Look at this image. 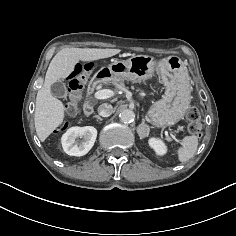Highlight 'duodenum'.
Returning a JSON list of instances; mask_svg holds the SVG:
<instances>
[{
	"label": "duodenum",
	"mask_w": 236,
	"mask_h": 236,
	"mask_svg": "<svg viewBox=\"0 0 236 236\" xmlns=\"http://www.w3.org/2000/svg\"><path fill=\"white\" fill-rule=\"evenodd\" d=\"M104 79H106V77H101V76H99L98 78H96L95 80L91 81V82L88 84L87 91H88V95H89V96H92V95L96 92L98 83L101 82V81L104 80ZM86 111H87L88 113H91L92 107H91L90 103H87V105H86Z\"/></svg>",
	"instance_id": "410a0bca"
}]
</instances>
